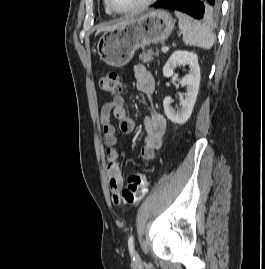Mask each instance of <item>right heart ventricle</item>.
<instances>
[{
    "mask_svg": "<svg viewBox=\"0 0 265 269\" xmlns=\"http://www.w3.org/2000/svg\"><path fill=\"white\" fill-rule=\"evenodd\" d=\"M104 8H105L106 13H108V14H110V13H111V11H110V9L108 8V6H107V4H106V1H105V0H104Z\"/></svg>",
    "mask_w": 265,
    "mask_h": 269,
    "instance_id": "e07e8e85",
    "label": "right heart ventricle"
}]
</instances>
